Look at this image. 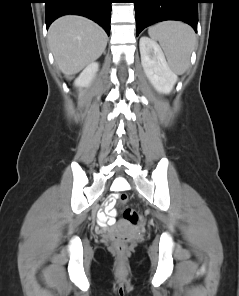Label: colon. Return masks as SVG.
I'll return each instance as SVG.
<instances>
[{"label":"colon","instance_id":"colon-1","mask_svg":"<svg viewBox=\"0 0 239 296\" xmlns=\"http://www.w3.org/2000/svg\"><path fill=\"white\" fill-rule=\"evenodd\" d=\"M127 199L126 195H120L118 197L119 203H124ZM124 218L132 225H138L143 221V216L140 212L126 208L123 213ZM129 239L127 237L116 236L112 240V250L116 253L123 254L127 251Z\"/></svg>","mask_w":239,"mask_h":296}]
</instances>
